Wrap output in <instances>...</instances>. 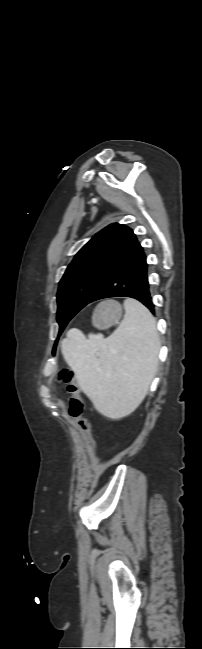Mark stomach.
Masks as SVG:
<instances>
[{"label":"stomach","instance_id":"stomach-1","mask_svg":"<svg viewBox=\"0 0 202 649\" xmlns=\"http://www.w3.org/2000/svg\"><path fill=\"white\" fill-rule=\"evenodd\" d=\"M122 316V306L113 300L100 303L93 315V324L100 330L118 323Z\"/></svg>","mask_w":202,"mask_h":649}]
</instances>
